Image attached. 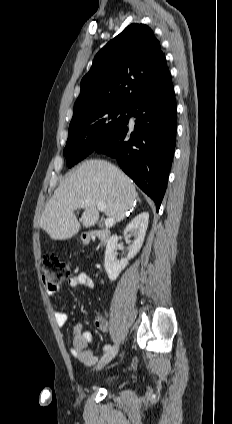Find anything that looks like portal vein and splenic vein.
<instances>
[{
  "label": "portal vein and splenic vein",
  "mask_w": 232,
  "mask_h": 424,
  "mask_svg": "<svg viewBox=\"0 0 232 424\" xmlns=\"http://www.w3.org/2000/svg\"><path fill=\"white\" fill-rule=\"evenodd\" d=\"M86 205L85 204H82V208H84ZM97 209L99 210V211H104L105 209H106V205H105V203H102V202H99V203H97ZM115 223V221H114V219L113 218H107L106 220H105V226L106 227H111V226H113V224Z\"/></svg>",
  "instance_id": "18ae733b"
}]
</instances>
